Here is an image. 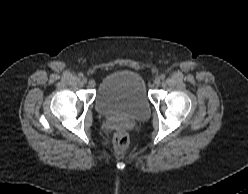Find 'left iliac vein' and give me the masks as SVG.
Instances as JSON below:
<instances>
[{"mask_svg": "<svg viewBox=\"0 0 248 194\" xmlns=\"http://www.w3.org/2000/svg\"><path fill=\"white\" fill-rule=\"evenodd\" d=\"M160 83H161V79L159 77L155 78L154 84L158 86L160 85Z\"/></svg>", "mask_w": 248, "mask_h": 194, "instance_id": "left-iliac-vein-1", "label": "left iliac vein"}]
</instances>
